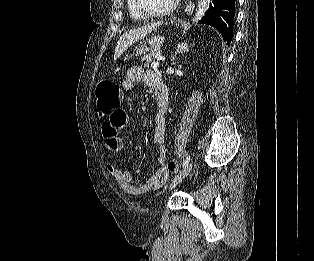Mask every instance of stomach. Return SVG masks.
Returning <instances> with one entry per match:
<instances>
[{
    "instance_id": "obj_1",
    "label": "stomach",
    "mask_w": 314,
    "mask_h": 261,
    "mask_svg": "<svg viewBox=\"0 0 314 261\" xmlns=\"http://www.w3.org/2000/svg\"><path fill=\"white\" fill-rule=\"evenodd\" d=\"M164 42V37L162 36H151L150 38L140 42L138 47L135 50L136 56H141L146 54L150 51L158 49L161 47L162 43Z\"/></svg>"
}]
</instances>
